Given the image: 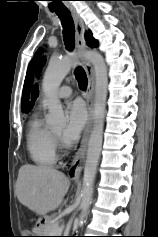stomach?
Wrapping results in <instances>:
<instances>
[{
	"instance_id": "obj_1",
	"label": "stomach",
	"mask_w": 158,
	"mask_h": 237,
	"mask_svg": "<svg viewBox=\"0 0 158 237\" xmlns=\"http://www.w3.org/2000/svg\"><path fill=\"white\" fill-rule=\"evenodd\" d=\"M38 229H39V228H38ZM39 230H40L39 235H36V236H44V235H42V233H44V232H42L41 229H39Z\"/></svg>"
}]
</instances>
